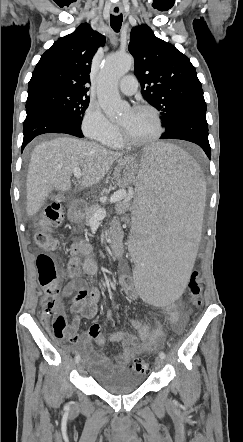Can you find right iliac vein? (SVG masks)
Wrapping results in <instances>:
<instances>
[{
  "mask_svg": "<svg viewBox=\"0 0 243 442\" xmlns=\"http://www.w3.org/2000/svg\"><path fill=\"white\" fill-rule=\"evenodd\" d=\"M78 371L80 372V373H82L83 372V370H84V363H83V361H81V362H79L78 363Z\"/></svg>",
  "mask_w": 243,
  "mask_h": 442,
  "instance_id": "right-iliac-vein-1",
  "label": "right iliac vein"
}]
</instances>
